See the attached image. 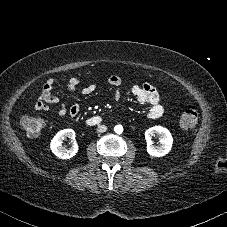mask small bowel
Masks as SVG:
<instances>
[{"instance_id":"1","label":"small bowel","mask_w":227,"mask_h":227,"mask_svg":"<svg viewBox=\"0 0 227 227\" xmlns=\"http://www.w3.org/2000/svg\"><path fill=\"white\" fill-rule=\"evenodd\" d=\"M77 79L72 80L71 91L73 93H80L83 95H90L95 92L96 85L90 84L80 90L76 88ZM110 87L115 89V98L120 99L122 97V90L120 87L123 84L122 78L118 75H113L108 79ZM56 82L53 78L48 79L41 88V93L35 101L34 108L39 111H48L52 105L59 103V96L55 93ZM126 89L136 96L139 102L147 107L146 115L150 119H157L162 116L164 107L161 102V98L158 90L150 83H144L143 85L128 84ZM80 113V105L75 103L70 107L65 103H60L58 107V115L65 117L69 115L74 118Z\"/></svg>"}]
</instances>
